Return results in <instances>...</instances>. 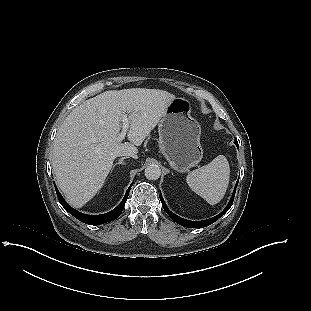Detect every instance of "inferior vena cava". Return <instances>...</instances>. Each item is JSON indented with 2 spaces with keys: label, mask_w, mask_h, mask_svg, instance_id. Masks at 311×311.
<instances>
[{
  "label": "inferior vena cava",
  "mask_w": 311,
  "mask_h": 311,
  "mask_svg": "<svg viewBox=\"0 0 311 311\" xmlns=\"http://www.w3.org/2000/svg\"><path fill=\"white\" fill-rule=\"evenodd\" d=\"M122 156H129L131 158L137 159V152L134 149H131L129 152L124 153Z\"/></svg>",
  "instance_id": "1"
}]
</instances>
